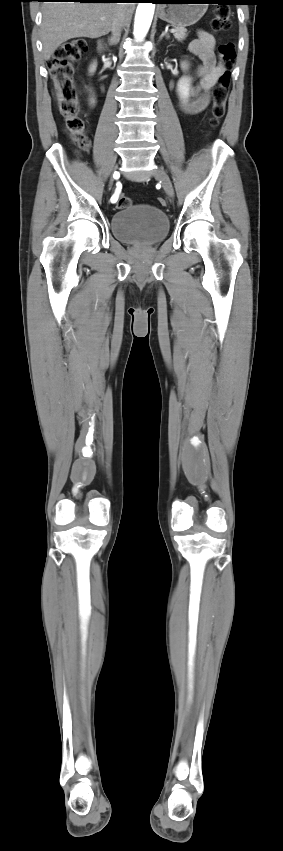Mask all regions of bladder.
I'll return each mask as SVG.
<instances>
[{
    "instance_id": "31cf9c89",
    "label": "bladder",
    "mask_w": 283,
    "mask_h": 851,
    "mask_svg": "<svg viewBox=\"0 0 283 851\" xmlns=\"http://www.w3.org/2000/svg\"><path fill=\"white\" fill-rule=\"evenodd\" d=\"M111 231L117 240L124 243L154 244L168 234L169 219L155 206L131 205L112 215Z\"/></svg>"
}]
</instances>
